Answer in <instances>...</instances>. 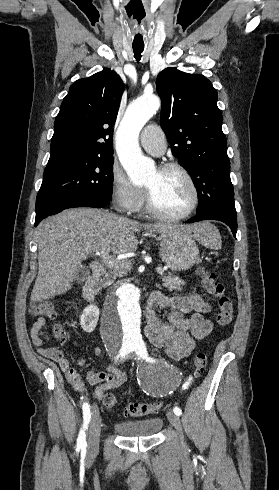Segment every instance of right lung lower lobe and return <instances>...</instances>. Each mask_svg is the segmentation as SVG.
Listing matches in <instances>:
<instances>
[{
    "label": "right lung lower lobe",
    "mask_w": 279,
    "mask_h": 490,
    "mask_svg": "<svg viewBox=\"0 0 279 490\" xmlns=\"http://www.w3.org/2000/svg\"><path fill=\"white\" fill-rule=\"evenodd\" d=\"M105 206H107L106 203L83 195L50 199L42 205V209L39 212H36L35 226H37L42 219L50 215L59 213L67 208H73V207L102 208Z\"/></svg>",
    "instance_id": "right-lung-lower-lobe-1"
}]
</instances>
